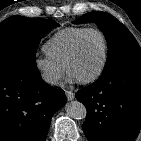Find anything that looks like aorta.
I'll return each mask as SVG.
<instances>
[{"label": "aorta", "mask_w": 141, "mask_h": 141, "mask_svg": "<svg viewBox=\"0 0 141 141\" xmlns=\"http://www.w3.org/2000/svg\"><path fill=\"white\" fill-rule=\"evenodd\" d=\"M66 113L73 119H84L87 115L86 107L79 101H71L65 106Z\"/></svg>", "instance_id": "762f6f07"}]
</instances>
